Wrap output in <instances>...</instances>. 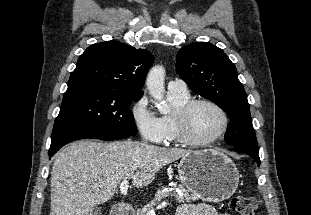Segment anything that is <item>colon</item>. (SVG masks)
<instances>
[{"mask_svg": "<svg viewBox=\"0 0 311 215\" xmlns=\"http://www.w3.org/2000/svg\"><path fill=\"white\" fill-rule=\"evenodd\" d=\"M231 207L239 215H254L258 207V201L251 196H237L232 199Z\"/></svg>", "mask_w": 311, "mask_h": 215, "instance_id": "colon-1", "label": "colon"}]
</instances>
